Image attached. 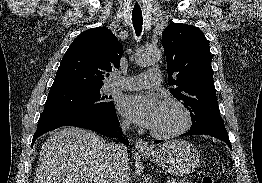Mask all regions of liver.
Masks as SVG:
<instances>
[{
  "label": "liver",
  "mask_w": 262,
  "mask_h": 183,
  "mask_svg": "<svg viewBox=\"0 0 262 183\" xmlns=\"http://www.w3.org/2000/svg\"><path fill=\"white\" fill-rule=\"evenodd\" d=\"M107 143L77 127L54 132L43 144L33 183H112Z\"/></svg>",
  "instance_id": "obj_1"
}]
</instances>
